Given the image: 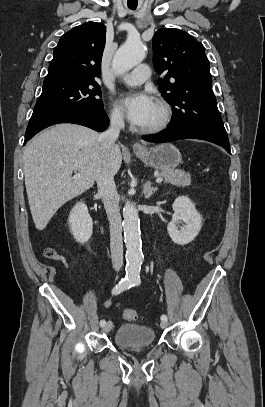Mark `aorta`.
Wrapping results in <instances>:
<instances>
[{
  "label": "aorta",
  "mask_w": 265,
  "mask_h": 407,
  "mask_svg": "<svg viewBox=\"0 0 265 407\" xmlns=\"http://www.w3.org/2000/svg\"><path fill=\"white\" fill-rule=\"evenodd\" d=\"M146 56L145 46L138 38H128L117 50L112 67L116 74L122 75L138 65ZM123 229L126 244V274L137 276L140 272L143 254L140 220L137 209L127 204L123 209Z\"/></svg>",
  "instance_id": "762f6f07"
}]
</instances>
